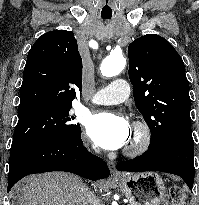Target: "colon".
<instances>
[{
    "mask_svg": "<svg viewBox=\"0 0 199 205\" xmlns=\"http://www.w3.org/2000/svg\"><path fill=\"white\" fill-rule=\"evenodd\" d=\"M184 194L181 188L172 187L165 197L164 205H182Z\"/></svg>",
    "mask_w": 199,
    "mask_h": 205,
    "instance_id": "colon-1",
    "label": "colon"
}]
</instances>
